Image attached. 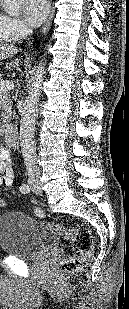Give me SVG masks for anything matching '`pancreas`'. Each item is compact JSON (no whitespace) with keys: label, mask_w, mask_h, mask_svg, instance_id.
I'll use <instances>...</instances> for the list:
<instances>
[{"label":"pancreas","mask_w":129,"mask_h":309,"mask_svg":"<svg viewBox=\"0 0 129 309\" xmlns=\"http://www.w3.org/2000/svg\"><path fill=\"white\" fill-rule=\"evenodd\" d=\"M7 80H4L1 78L0 75V85L5 83ZM0 93H2V98L0 99V102L2 101V103H0V121L2 122L0 125V128H4L8 125V123L11 120V107L10 106H6L3 101H7L8 100V95L10 93V90L3 87L1 88L0 86Z\"/></svg>","instance_id":"1"}]
</instances>
